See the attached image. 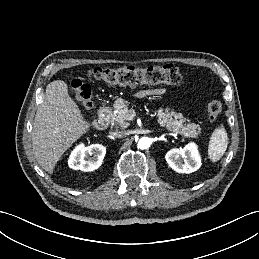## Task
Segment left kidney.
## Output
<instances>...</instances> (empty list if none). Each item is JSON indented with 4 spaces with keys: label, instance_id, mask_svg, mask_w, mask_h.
<instances>
[{
    "label": "left kidney",
    "instance_id": "1",
    "mask_svg": "<svg viewBox=\"0 0 259 259\" xmlns=\"http://www.w3.org/2000/svg\"><path fill=\"white\" fill-rule=\"evenodd\" d=\"M168 165L178 173H192L201 166V158L195 143H189L184 148L171 149L165 155Z\"/></svg>",
    "mask_w": 259,
    "mask_h": 259
}]
</instances>
